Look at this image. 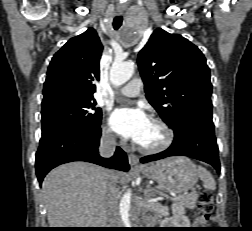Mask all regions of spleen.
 Returning a JSON list of instances; mask_svg holds the SVG:
<instances>
[{
    "label": "spleen",
    "mask_w": 252,
    "mask_h": 231,
    "mask_svg": "<svg viewBox=\"0 0 252 231\" xmlns=\"http://www.w3.org/2000/svg\"><path fill=\"white\" fill-rule=\"evenodd\" d=\"M197 175L203 182V186L209 190L216 189V183L213 176L205 168L199 166L197 169Z\"/></svg>",
    "instance_id": "spleen-1"
}]
</instances>
